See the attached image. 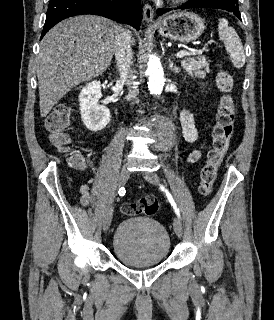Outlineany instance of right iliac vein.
<instances>
[{"label": "right iliac vein", "instance_id": "obj_1", "mask_svg": "<svg viewBox=\"0 0 274 320\" xmlns=\"http://www.w3.org/2000/svg\"><path fill=\"white\" fill-rule=\"evenodd\" d=\"M129 175H130V171H129L127 165L122 166V168L119 172V175H118L119 186H123L127 182ZM112 217H113V207L110 206L107 209L106 214L104 216V220H103V230L104 231H107L109 229L111 222H112Z\"/></svg>", "mask_w": 274, "mask_h": 320}]
</instances>
